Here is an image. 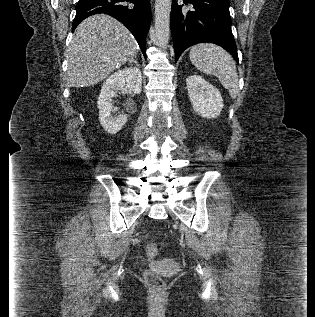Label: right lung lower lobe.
I'll return each instance as SVG.
<instances>
[{
    "mask_svg": "<svg viewBox=\"0 0 315 317\" xmlns=\"http://www.w3.org/2000/svg\"><path fill=\"white\" fill-rule=\"evenodd\" d=\"M75 8L77 13L72 30L93 14L111 15L130 30L146 57V34L151 20L150 0H79Z\"/></svg>",
    "mask_w": 315,
    "mask_h": 317,
    "instance_id": "98d812e1",
    "label": "right lung lower lobe"
}]
</instances>
